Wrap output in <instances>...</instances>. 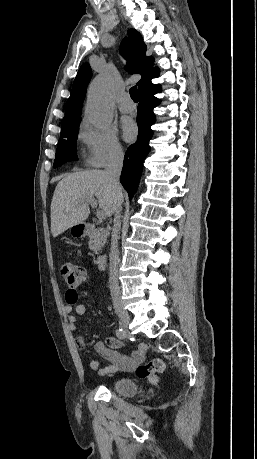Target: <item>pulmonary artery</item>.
Segmentation results:
<instances>
[{
	"mask_svg": "<svg viewBox=\"0 0 257 459\" xmlns=\"http://www.w3.org/2000/svg\"><path fill=\"white\" fill-rule=\"evenodd\" d=\"M118 108L123 113H130L134 110V104L128 94L122 96L119 101Z\"/></svg>",
	"mask_w": 257,
	"mask_h": 459,
	"instance_id": "obj_1",
	"label": "pulmonary artery"
}]
</instances>
